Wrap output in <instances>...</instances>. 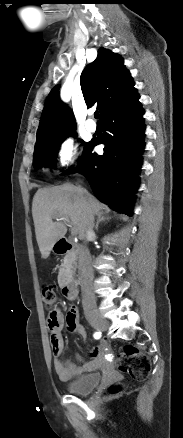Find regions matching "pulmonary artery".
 I'll return each instance as SVG.
<instances>
[{"mask_svg":"<svg viewBox=\"0 0 183 438\" xmlns=\"http://www.w3.org/2000/svg\"><path fill=\"white\" fill-rule=\"evenodd\" d=\"M85 127L90 132H95L97 128L96 123L93 120H87Z\"/></svg>","mask_w":183,"mask_h":438,"instance_id":"obj_1","label":"pulmonary artery"}]
</instances>
